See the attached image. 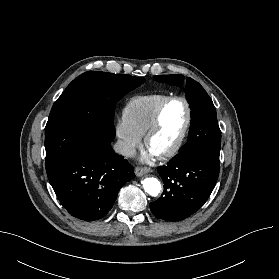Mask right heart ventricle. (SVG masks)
I'll return each mask as SVG.
<instances>
[{
	"label": "right heart ventricle",
	"instance_id": "obj_1",
	"mask_svg": "<svg viewBox=\"0 0 279 279\" xmlns=\"http://www.w3.org/2000/svg\"><path fill=\"white\" fill-rule=\"evenodd\" d=\"M170 95L154 93L131 98L124 108V116L132 128L143 136L149 128L158 107Z\"/></svg>",
	"mask_w": 279,
	"mask_h": 279
}]
</instances>
